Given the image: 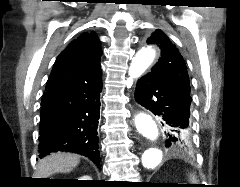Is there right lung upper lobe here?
<instances>
[{"instance_id": "obj_1", "label": "right lung upper lobe", "mask_w": 240, "mask_h": 187, "mask_svg": "<svg viewBox=\"0 0 240 187\" xmlns=\"http://www.w3.org/2000/svg\"><path fill=\"white\" fill-rule=\"evenodd\" d=\"M102 50L94 33H83L56 59L45 91L101 73Z\"/></svg>"}]
</instances>
